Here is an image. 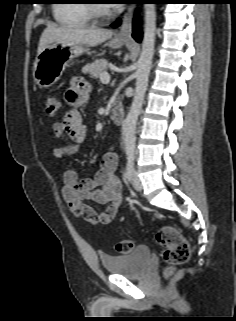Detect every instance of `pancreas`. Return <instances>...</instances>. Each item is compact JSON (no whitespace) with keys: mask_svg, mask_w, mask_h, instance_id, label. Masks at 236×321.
<instances>
[{"mask_svg":"<svg viewBox=\"0 0 236 321\" xmlns=\"http://www.w3.org/2000/svg\"><path fill=\"white\" fill-rule=\"evenodd\" d=\"M107 60L106 59H98L92 62L91 64H87L83 69L84 74H88L91 78H99L100 74L107 70Z\"/></svg>","mask_w":236,"mask_h":321,"instance_id":"cf45deb5","label":"pancreas"}]
</instances>
